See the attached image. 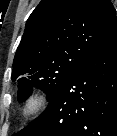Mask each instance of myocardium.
Segmentation results:
<instances>
[{"instance_id": "1", "label": "myocardium", "mask_w": 117, "mask_h": 136, "mask_svg": "<svg viewBox=\"0 0 117 136\" xmlns=\"http://www.w3.org/2000/svg\"><path fill=\"white\" fill-rule=\"evenodd\" d=\"M48 96L41 91L30 93L21 107V114L25 118H32L43 113L48 106Z\"/></svg>"}]
</instances>
